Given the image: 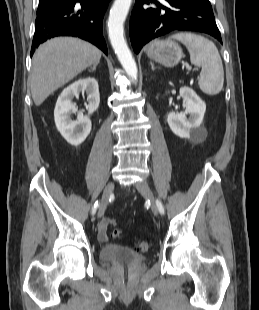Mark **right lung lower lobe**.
Segmentation results:
<instances>
[{
    "label": "right lung lower lobe",
    "instance_id": "1",
    "mask_svg": "<svg viewBox=\"0 0 259 310\" xmlns=\"http://www.w3.org/2000/svg\"><path fill=\"white\" fill-rule=\"evenodd\" d=\"M109 0H60L38 6L31 56L35 49L55 36H76L85 39L106 55L102 19ZM76 3H80L78 9Z\"/></svg>",
    "mask_w": 259,
    "mask_h": 310
}]
</instances>
